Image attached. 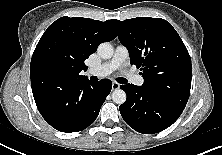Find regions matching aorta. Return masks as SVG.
Returning <instances> with one entry per match:
<instances>
[{"label": "aorta", "mask_w": 222, "mask_h": 155, "mask_svg": "<svg viewBox=\"0 0 222 155\" xmlns=\"http://www.w3.org/2000/svg\"><path fill=\"white\" fill-rule=\"evenodd\" d=\"M98 54L103 59H110L114 54L113 46L109 42L101 43L98 46ZM126 93L122 89H116L112 93V100L116 104H123L126 101Z\"/></svg>", "instance_id": "762f6f07"}]
</instances>
